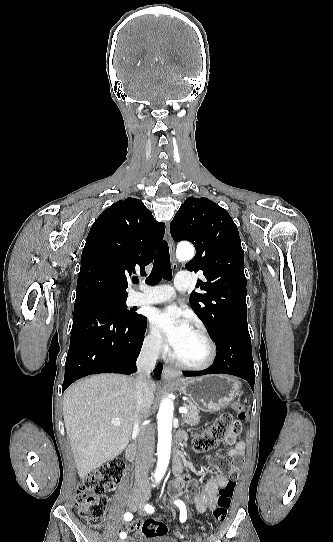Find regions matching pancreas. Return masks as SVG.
Returning <instances> with one entry per match:
<instances>
[{
    "label": "pancreas",
    "mask_w": 333,
    "mask_h": 542,
    "mask_svg": "<svg viewBox=\"0 0 333 542\" xmlns=\"http://www.w3.org/2000/svg\"><path fill=\"white\" fill-rule=\"evenodd\" d=\"M187 404H183L184 408H187L188 414H183V422L189 424V426H197L200 422L199 410H197L195 404L186 400Z\"/></svg>",
    "instance_id": "pancreas-1"
}]
</instances>
